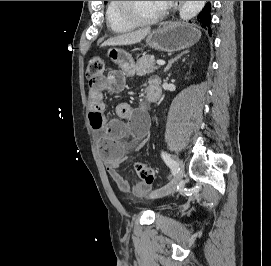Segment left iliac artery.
Instances as JSON below:
<instances>
[{"mask_svg": "<svg viewBox=\"0 0 271 266\" xmlns=\"http://www.w3.org/2000/svg\"><path fill=\"white\" fill-rule=\"evenodd\" d=\"M161 156L163 158V160L165 161V163L169 166V168L171 169V172L173 175H176V164L175 161L171 158V156L166 153L165 151H162Z\"/></svg>", "mask_w": 271, "mask_h": 266, "instance_id": "1", "label": "left iliac artery"}]
</instances>
